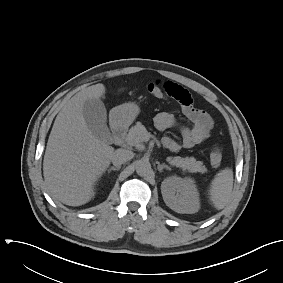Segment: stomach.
<instances>
[{
  "mask_svg": "<svg viewBox=\"0 0 283 283\" xmlns=\"http://www.w3.org/2000/svg\"><path fill=\"white\" fill-rule=\"evenodd\" d=\"M140 108L135 103H125L113 111V119L118 125H130L138 116Z\"/></svg>",
  "mask_w": 283,
  "mask_h": 283,
  "instance_id": "0dacf381",
  "label": "stomach"
}]
</instances>
